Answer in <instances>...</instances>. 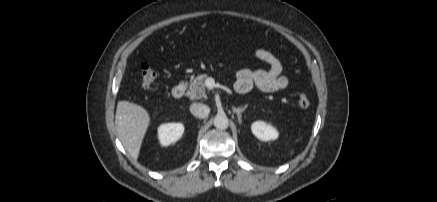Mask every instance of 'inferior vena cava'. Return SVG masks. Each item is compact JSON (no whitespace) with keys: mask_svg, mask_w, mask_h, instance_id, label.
<instances>
[{"mask_svg":"<svg viewBox=\"0 0 437 202\" xmlns=\"http://www.w3.org/2000/svg\"><path fill=\"white\" fill-rule=\"evenodd\" d=\"M190 112L197 118H206L210 112V108L202 103H193L190 106Z\"/></svg>","mask_w":437,"mask_h":202,"instance_id":"inferior-vena-cava-1","label":"inferior vena cava"}]
</instances>
